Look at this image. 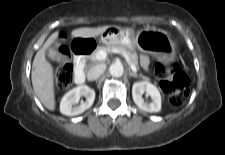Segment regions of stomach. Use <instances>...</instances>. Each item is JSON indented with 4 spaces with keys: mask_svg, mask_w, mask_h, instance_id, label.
Wrapping results in <instances>:
<instances>
[{
    "mask_svg": "<svg viewBox=\"0 0 225 155\" xmlns=\"http://www.w3.org/2000/svg\"><path fill=\"white\" fill-rule=\"evenodd\" d=\"M100 39L107 45L121 44L130 50L138 48L152 55L167 49L172 44L169 34L155 27H145L136 32L130 29L110 27L100 35Z\"/></svg>",
    "mask_w": 225,
    "mask_h": 155,
    "instance_id": "1",
    "label": "stomach"
}]
</instances>
